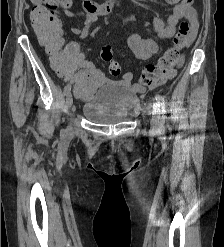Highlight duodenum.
<instances>
[{
  "label": "duodenum",
  "instance_id": "1",
  "mask_svg": "<svg viewBox=\"0 0 224 247\" xmlns=\"http://www.w3.org/2000/svg\"><path fill=\"white\" fill-rule=\"evenodd\" d=\"M115 6L116 0H104L101 3H93L91 0H84V8L98 15L110 14Z\"/></svg>",
  "mask_w": 224,
  "mask_h": 247
}]
</instances>
